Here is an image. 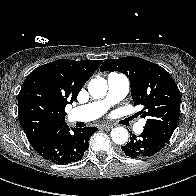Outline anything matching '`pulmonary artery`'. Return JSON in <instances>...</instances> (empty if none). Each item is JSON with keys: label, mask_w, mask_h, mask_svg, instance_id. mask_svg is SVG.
I'll list each match as a JSON object with an SVG mask.
<instances>
[{"label": "pulmonary artery", "mask_w": 196, "mask_h": 196, "mask_svg": "<svg viewBox=\"0 0 196 196\" xmlns=\"http://www.w3.org/2000/svg\"><path fill=\"white\" fill-rule=\"evenodd\" d=\"M108 90L106 96L98 101L81 105L71 109L69 119L76 121H92L101 117L111 106L120 102L129 91V80L123 74L110 73L107 77ZM142 123L135 126V131L140 133Z\"/></svg>", "instance_id": "e3ab8cb5"}]
</instances>
